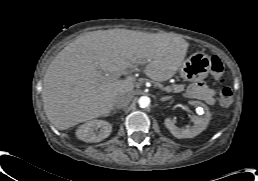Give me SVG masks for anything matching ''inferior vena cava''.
<instances>
[{
  "mask_svg": "<svg viewBox=\"0 0 258 181\" xmlns=\"http://www.w3.org/2000/svg\"><path fill=\"white\" fill-rule=\"evenodd\" d=\"M131 99H132L131 93L120 94L119 96L116 97L114 106L117 109L124 108L130 103Z\"/></svg>",
  "mask_w": 258,
  "mask_h": 181,
  "instance_id": "obj_1",
  "label": "inferior vena cava"
}]
</instances>
